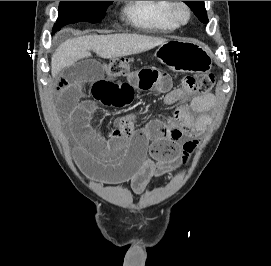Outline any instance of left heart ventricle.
<instances>
[{
	"mask_svg": "<svg viewBox=\"0 0 271 266\" xmlns=\"http://www.w3.org/2000/svg\"><path fill=\"white\" fill-rule=\"evenodd\" d=\"M179 15H180L181 17H184V16H185V12H184L183 9H179Z\"/></svg>",
	"mask_w": 271,
	"mask_h": 266,
	"instance_id": "1",
	"label": "left heart ventricle"
}]
</instances>
